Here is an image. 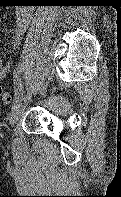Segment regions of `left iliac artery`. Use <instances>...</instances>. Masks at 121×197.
Listing matches in <instances>:
<instances>
[{
  "label": "left iliac artery",
  "instance_id": "obj_1",
  "mask_svg": "<svg viewBox=\"0 0 121 197\" xmlns=\"http://www.w3.org/2000/svg\"><path fill=\"white\" fill-rule=\"evenodd\" d=\"M25 65H26V58L22 57V59L18 62V64L14 69L15 98L12 108H14L19 103L24 93V87L22 85V73L24 71Z\"/></svg>",
  "mask_w": 121,
  "mask_h": 197
}]
</instances>
